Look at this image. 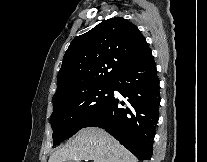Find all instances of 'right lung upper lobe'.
I'll return each instance as SVG.
<instances>
[{
    "label": "right lung upper lobe",
    "instance_id": "right-lung-upper-lobe-1",
    "mask_svg": "<svg viewBox=\"0 0 207 162\" xmlns=\"http://www.w3.org/2000/svg\"><path fill=\"white\" fill-rule=\"evenodd\" d=\"M151 57L144 36L134 24L122 17L105 20L69 45L53 99L113 84L128 68Z\"/></svg>",
    "mask_w": 207,
    "mask_h": 162
}]
</instances>
